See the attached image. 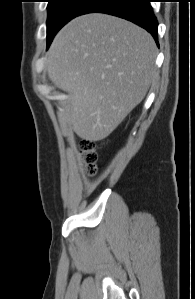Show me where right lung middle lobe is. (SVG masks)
Returning <instances> with one entry per match:
<instances>
[{"label": "right lung middle lobe", "instance_id": "right-lung-middle-lobe-1", "mask_svg": "<svg viewBox=\"0 0 195 299\" xmlns=\"http://www.w3.org/2000/svg\"><path fill=\"white\" fill-rule=\"evenodd\" d=\"M47 44L71 19L79 15L90 0H48Z\"/></svg>", "mask_w": 195, "mask_h": 299}]
</instances>
